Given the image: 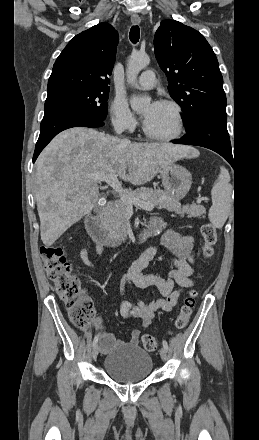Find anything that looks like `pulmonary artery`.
<instances>
[{
  "instance_id": "e3ab8cb5",
  "label": "pulmonary artery",
  "mask_w": 259,
  "mask_h": 440,
  "mask_svg": "<svg viewBox=\"0 0 259 440\" xmlns=\"http://www.w3.org/2000/svg\"><path fill=\"white\" fill-rule=\"evenodd\" d=\"M156 83L155 73L152 70L144 71L135 83V87L142 90H148L154 87Z\"/></svg>"
}]
</instances>
